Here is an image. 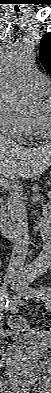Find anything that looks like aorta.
Listing matches in <instances>:
<instances>
[{
    "label": "aorta",
    "instance_id": "obj_1",
    "mask_svg": "<svg viewBox=\"0 0 51 393\" xmlns=\"http://www.w3.org/2000/svg\"><path fill=\"white\" fill-rule=\"evenodd\" d=\"M34 59L33 47L27 43L19 42L11 48L1 65L2 95L12 109L19 113L36 112L41 107V99L28 78ZM37 224L43 238L44 248L29 267V272L32 275L48 271L51 263L50 224L42 217L38 218Z\"/></svg>",
    "mask_w": 51,
    "mask_h": 393
}]
</instances>
